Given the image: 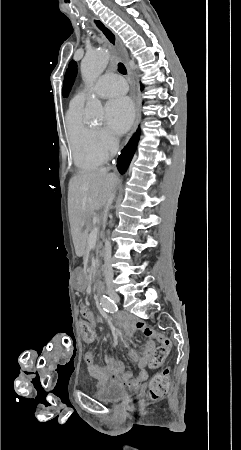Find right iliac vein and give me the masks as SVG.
<instances>
[{
    "instance_id": "obj_1",
    "label": "right iliac vein",
    "mask_w": 241,
    "mask_h": 450,
    "mask_svg": "<svg viewBox=\"0 0 241 450\" xmlns=\"http://www.w3.org/2000/svg\"><path fill=\"white\" fill-rule=\"evenodd\" d=\"M109 295L111 296V298H112L114 301H116V302L119 301V296H118L117 293H115V292H113V291H109Z\"/></svg>"
}]
</instances>
